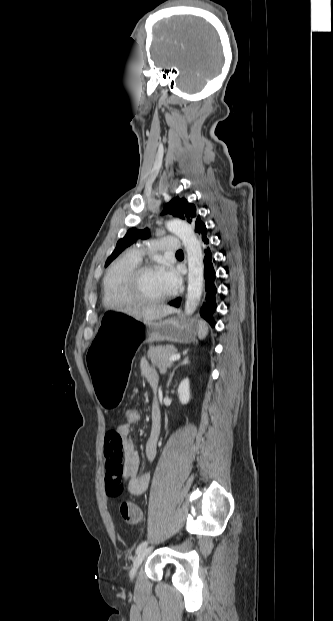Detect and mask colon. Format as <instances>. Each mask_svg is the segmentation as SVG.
Here are the masks:
<instances>
[{"label": "colon", "instance_id": "5ec220e1", "mask_svg": "<svg viewBox=\"0 0 333 621\" xmlns=\"http://www.w3.org/2000/svg\"><path fill=\"white\" fill-rule=\"evenodd\" d=\"M125 417L127 423L136 425L140 421V412L136 407L130 406L125 410ZM120 513L123 519L131 525H138L142 522V511L133 502H123L120 506Z\"/></svg>", "mask_w": 333, "mask_h": 621}]
</instances>
